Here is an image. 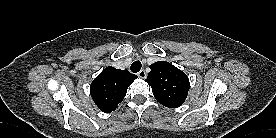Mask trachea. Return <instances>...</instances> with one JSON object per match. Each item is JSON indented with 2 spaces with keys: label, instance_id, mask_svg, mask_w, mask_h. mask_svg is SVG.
<instances>
[{
  "label": "trachea",
  "instance_id": "3493384b",
  "mask_svg": "<svg viewBox=\"0 0 276 138\" xmlns=\"http://www.w3.org/2000/svg\"><path fill=\"white\" fill-rule=\"evenodd\" d=\"M141 67H142L141 62H140L139 60H137V61H134V62L132 63L130 69H131V71H132L133 73H136V72H139V71H140Z\"/></svg>",
  "mask_w": 276,
  "mask_h": 138
}]
</instances>
